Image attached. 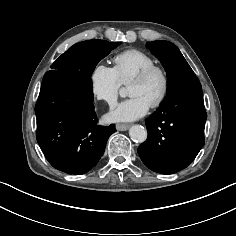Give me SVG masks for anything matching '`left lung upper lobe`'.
<instances>
[{
    "mask_svg": "<svg viewBox=\"0 0 236 236\" xmlns=\"http://www.w3.org/2000/svg\"><path fill=\"white\" fill-rule=\"evenodd\" d=\"M152 52L159 58L168 78V96L178 87L191 82H198V78L179 51L171 42L159 40L149 42Z\"/></svg>",
    "mask_w": 236,
    "mask_h": 236,
    "instance_id": "5c2ea615",
    "label": "left lung upper lobe"
}]
</instances>
